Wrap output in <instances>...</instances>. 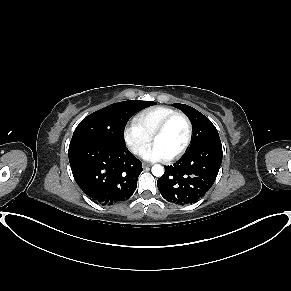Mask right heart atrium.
Returning a JSON list of instances; mask_svg holds the SVG:
<instances>
[{"instance_id":"obj_1","label":"right heart atrium","mask_w":291,"mask_h":291,"mask_svg":"<svg viewBox=\"0 0 291 291\" xmlns=\"http://www.w3.org/2000/svg\"><path fill=\"white\" fill-rule=\"evenodd\" d=\"M123 139L130 151L138 155L150 142L151 136L135 121H132L124 128Z\"/></svg>"}]
</instances>
